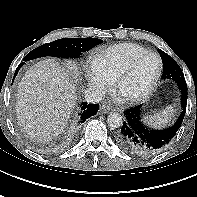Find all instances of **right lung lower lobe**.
<instances>
[{
	"instance_id": "98d812e1",
	"label": "right lung lower lobe",
	"mask_w": 197,
	"mask_h": 197,
	"mask_svg": "<svg viewBox=\"0 0 197 197\" xmlns=\"http://www.w3.org/2000/svg\"><path fill=\"white\" fill-rule=\"evenodd\" d=\"M24 63H20L17 67V70L15 72V75H14V78L16 76V74L18 73L19 69L21 68V66L23 65ZM13 78V80H14ZM99 109V105L98 104H87V103H82L81 105V113L79 114L80 115V121L79 123H83L87 118L91 117V116H94L97 111Z\"/></svg>"
}]
</instances>
